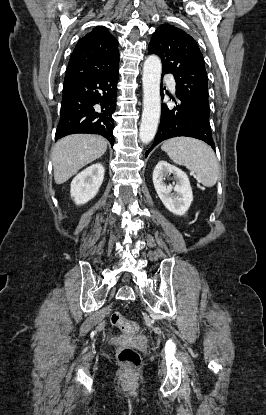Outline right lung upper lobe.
Masks as SVG:
<instances>
[{
  "mask_svg": "<svg viewBox=\"0 0 266 415\" xmlns=\"http://www.w3.org/2000/svg\"><path fill=\"white\" fill-rule=\"evenodd\" d=\"M118 63V41L105 27H95L75 46L64 85L110 73Z\"/></svg>",
  "mask_w": 266,
  "mask_h": 415,
  "instance_id": "obj_1",
  "label": "right lung upper lobe"
}]
</instances>
